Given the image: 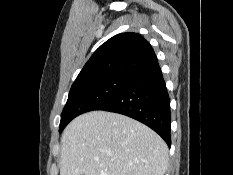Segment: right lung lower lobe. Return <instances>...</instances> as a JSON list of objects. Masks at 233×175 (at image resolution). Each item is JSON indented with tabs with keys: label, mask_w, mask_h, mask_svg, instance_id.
I'll return each mask as SVG.
<instances>
[{
	"label": "right lung lower lobe",
	"mask_w": 233,
	"mask_h": 175,
	"mask_svg": "<svg viewBox=\"0 0 233 175\" xmlns=\"http://www.w3.org/2000/svg\"><path fill=\"white\" fill-rule=\"evenodd\" d=\"M96 110L120 113L156 131L170 147V99L159 65L136 75Z\"/></svg>",
	"instance_id": "right-lung-lower-lobe-1"
}]
</instances>
